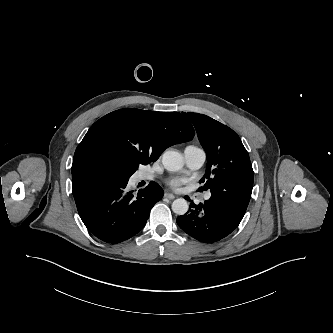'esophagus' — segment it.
<instances>
[{"label": "esophagus", "mask_w": 333, "mask_h": 333, "mask_svg": "<svg viewBox=\"0 0 333 333\" xmlns=\"http://www.w3.org/2000/svg\"><path fill=\"white\" fill-rule=\"evenodd\" d=\"M164 197L167 198V199H169V200H173L175 198V196L173 194H171V193H165Z\"/></svg>", "instance_id": "34e87169"}]
</instances>
